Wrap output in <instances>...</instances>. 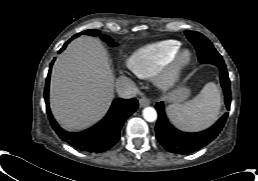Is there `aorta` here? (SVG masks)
I'll return each instance as SVG.
<instances>
[{"instance_id": "obj_1", "label": "aorta", "mask_w": 258, "mask_h": 181, "mask_svg": "<svg viewBox=\"0 0 258 181\" xmlns=\"http://www.w3.org/2000/svg\"><path fill=\"white\" fill-rule=\"evenodd\" d=\"M142 115L148 122H154L157 119V112L153 107H146L143 109Z\"/></svg>"}]
</instances>
